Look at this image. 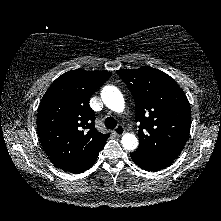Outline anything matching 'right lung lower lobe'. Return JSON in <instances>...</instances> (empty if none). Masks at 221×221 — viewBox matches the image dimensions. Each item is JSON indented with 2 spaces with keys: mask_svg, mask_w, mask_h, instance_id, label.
Instances as JSON below:
<instances>
[{
  "mask_svg": "<svg viewBox=\"0 0 221 221\" xmlns=\"http://www.w3.org/2000/svg\"><path fill=\"white\" fill-rule=\"evenodd\" d=\"M100 150H102V148H101ZM100 150H99V151H100ZM99 151L96 152V153L93 155V157H92L91 159H89L85 164H83L81 167H79L78 169H76V170H75L74 172H72V173L78 174V173H82V172L86 171L87 169H89V168L95 163V161H96V159H97V157H98Z\"/></svg>",
  "mask_w": 221,
  "mask_h": 221,
  "instance_id": "right-lung-lower-lobe-1",
  "label": "right lung lower lobe"
}]
</instances>
